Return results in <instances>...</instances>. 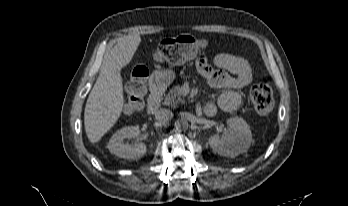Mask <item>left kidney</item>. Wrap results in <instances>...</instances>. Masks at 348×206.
I'll return each mask as SVG.
<instances>
[{
    "label": "left kidney",
    "instance_id": "1",
    "mask_svg": "<svg viewBox=\"0 0 348 206\" xmlns=\"http://www.w3.org/2000/svg\"><path fill=\"white\" fill-rule=\"evenodd\" d=\"M229 129L221 136L215 134L209 138V145L214 153L220 156L234 158L245 153L253 139L249 125L239 117L227 120Z\"/></svg>",
    "mask_w": 348,
    "mask_h": 206
}]
</instances>
